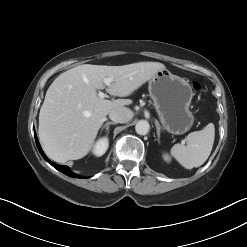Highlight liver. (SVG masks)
Wrapping results in <instances>:
<instances>
[{
  "label": "liver",
  "mask_w": 247,
  "mask_h": 247,
  "mask_svg": "<svg viewBox=\"0 0 247 247\" xmlns=\"http://www.w3.org/2000/svg\"><path fill=\"white\" fill-rule=\"evenodd\" d=\"M162 69L165 66L158 62L84 64L59 75L48 88L39 114L38 134L45 153L59 163L86 156L109 112L132 103L99 98L97 90L105 88L104 79L114 78L108 93L127 97Z\"/></svg>",
  "instance_id": "1"
}]
</instances>
